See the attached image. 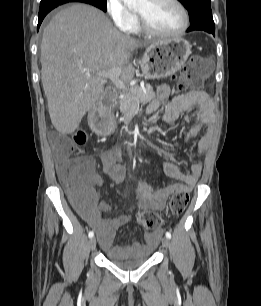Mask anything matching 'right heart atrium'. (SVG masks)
<instances>
[{
  "label": "right heart atrium",
  "mask_w": 261,
  "mask_h": 306,
  "mask_svg": "<svg viewBox=\"0 0 261 306\" xmlns=\"http://www.w3.org/2000/svg\"><path fill=\"white\" fill-rule=\"evenodd\" d=\"M105 7L119 30L130 31L135 22V15L124 5L122 0H105Z\"/></svg>",
  "instance_id": "1"
}]
</instances>
